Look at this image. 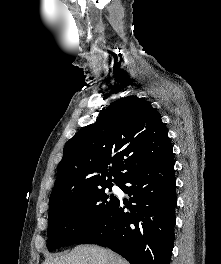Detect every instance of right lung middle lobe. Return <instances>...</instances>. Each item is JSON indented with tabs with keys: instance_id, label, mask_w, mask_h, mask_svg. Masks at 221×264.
I'll return each instance as SVG.
<instances>
[{
	"instance_id": "right-lung-middle-lobe-1",
	"label": "right lung middle lobe",
	"mask_w": 221,
	"mask_h": 264,
	"mask_svg": "<svg viewBox=\"0 0 221 264\" xmlns=\"http://www.w3.org/2000/svg\"><path fill=\"white\" fill-rule=\"evenodd\" d=\"M119 187L121 183H116ZM113 184L71 194L59 201L48 215L49 251L76 244L86 238L118 201Z\"/></svg>"
}]
</instances>
